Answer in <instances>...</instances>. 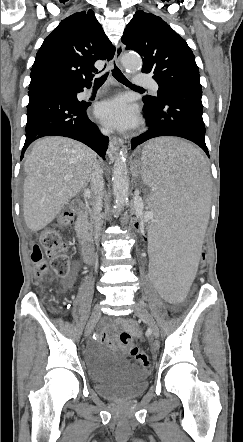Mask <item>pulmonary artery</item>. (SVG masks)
I'll return each mask as SVG.
<instances>
[{
	"instance_id": "e3ab8cb5",
	"label": "pulmonary artery",
	"mask_w": 243,
	"mask_h": 442,
	"mask_svg": "<svg viewBox=\"0 0 243 442\" xmlns=\"http://www.w3.org/2000/svg\"><path fill=\"white\" fill-rule=\"evenodd\" d=\"M136 85H144L147 86L150 91L152 93H157L159 90V86L155 81H152L150 79H146V78H141V79H137V81H135ZM90 95H92L91 91H86L83 94V97H89Z\"/></svg>"
}]
</instances>
